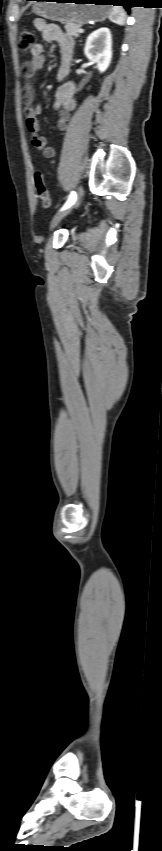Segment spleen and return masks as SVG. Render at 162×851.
<instances>
[{"mask_svg":"<svg viewBox=\"0 0 162 851\" xmlns=\"http://www.w3.org/2000/svg\"><path fill=\"white\" fill-rule=\"evenodd\" d=\"M125 11L122 7L111 6V11L109 14V20L118 25H123L125 22Z\"/></svg>","mask_w":162,"mask_h":851,"instance_id":"obj_1","label":"spleen"}]
</instances>
